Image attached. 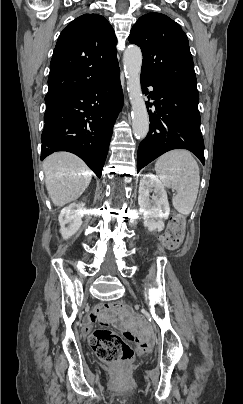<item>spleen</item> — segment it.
<instances>
[{"label": "spleen", "instance_id": "obj_1", "mask_svg": "<svg viewBox=\"0 0 243 404\" xmlns=\"http://www.w3.org/2000/svg\"><path fill=\"white\" fill-rule=\"evenodd\" d=\"M155 172L166 188L176 190L172 204L182 216L192 212L200 184L199 166L188 150H172L158 158Z\"/></svg>", "mask_w": 243, "mask_h": 404}]
</instances>
